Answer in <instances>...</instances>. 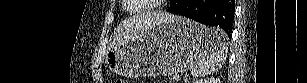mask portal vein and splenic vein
I'll return each instance as SVG.
<instances>
[{
    "mask_svg": "<svg viewBox=\"0 0 307 83\" xmlns=\"http://www.w3.org/2000/svg\"><path fill=\"white\" fill-rule=\"evenodd\" d=\"M173 79L178 81V80H180V76L176 74V75L173 76Z\"/></svg>",
    "mask_w": 307,
    "mask_h": 83,
    "instance_id": "1",
    "label": "portal vein and splenic vein"
}]
</instances>
